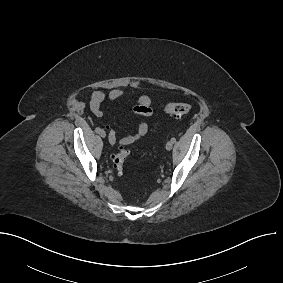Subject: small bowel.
<instances>
[{"label":"small bowel","mask_w":283,"mask_h":283,"mask_svg":"<svg viewBox=\"0 0 283 283\" xmlns=\"http://www.w3.org/2000/svg\"><path fill=\"white\" fill-rule=\"evenodd\" d=\"M124 91L119 88L110 90L107 94L101 91H95L90 95L89 105L91 112L96 117H101L103 111L101 108L102 103L105 99L114 102L121 97H123ZM133 112L136 115L143 117H150L153 115L152 101L148 96H141L133 107ZM108 130L109 143L114 145L117 142V137L115 131L110 127L106 126ZM149 131V126L145 122H139L136 125V132L131 135H127L119 140L121 145H130L137 142L139 139L143 138Z\"/></svg>","instance_id":"c3829d8e"}]
</instances>
